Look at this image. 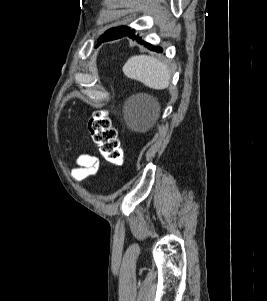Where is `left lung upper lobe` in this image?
<instances>
[{"label":"left lung upper lobe","mask_w":267,"mask_h":301,"mask_svg":"<svg viewBox=\"0 0 267 301\" xmlns=\"http://www.w3.org/2000/svg\"><path fill=\"white\" fill-rule=\"evenodd\" d=\"M131 29L129 27H117V28H111L108 31L105 32V36H101L98 40V44L103 42L106 38H109L111 35L116 34H122L130 31Z\"/></svg>","instance_id":"1"}]
</instances>
